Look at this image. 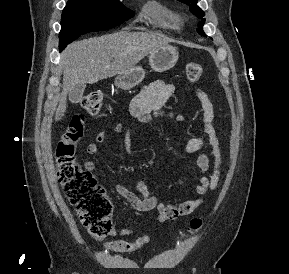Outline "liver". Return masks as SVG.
<instances>
[{"label": "liver", "instance_id": "obj_1", "mask_svg": "<svg viewBox=\"0 0 289 274\" xmlns=\"http://www.w3.org/2000/svg\"><path fill=\"white\" fill-rule=\"evenodd\" d=\"M165 45V38L127 31L70 44L61 56L63 90L55 111V120L64 117L67 95L75 86L93 84L126 73L146 55Z\"/></svg>", "mask_w": 289, "mask_h": 274}]
</instances>
